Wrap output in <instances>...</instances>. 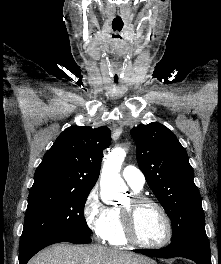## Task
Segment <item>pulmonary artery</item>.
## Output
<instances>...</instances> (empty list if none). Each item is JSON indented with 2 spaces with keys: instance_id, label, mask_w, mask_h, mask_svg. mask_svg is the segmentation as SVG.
<instances>
[{
  "instance_id": "1",
  "label": "pulmonary artery",
  "mask_w": 221,
  "mask_h": 264,
  "mask_svg": "<svg viewBox=\"0 0 221 264\" xmlns=\"http://www.w3.org/2000/svg\"><path fill=\"white\" fill-rule=\"evenodd\" d=\"M121 174L132 189L136 191L142 190L145 184V176L139 168L133 165H128L124 167Z\"/></svg>"
}]
</instances>
